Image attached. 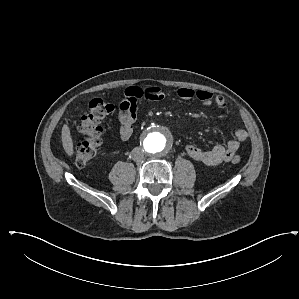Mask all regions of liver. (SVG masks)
Segmentation results:
<instances>
[{
	"label": "liver",
	"instance_id": "6515ba94",
	"mask_svg": "<svg viewBox=\"0 0 299 299\" xmlns=\"http://www.w3.org/2000/svg\"><path fill=\"white\" fill-rule=\"evenodd\" d=\"M61 138H62V145L65 152L67 153V155L72 156L74 153L73 140L70 133V128L67 124H64L62 127Z\"/></svg>",
	"mask_w": 299,
	"mask_h": 299
}]
</instances>
